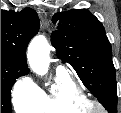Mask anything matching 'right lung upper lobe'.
<instances>
[{"instance_id":"cb5924a9","label":"right lung upper lobe","mask_w":121,"mask_h":113,"mask_svg":"<svg viewBox=\"0 0 121 113\" xmlns=\"http://www.w3.org/2000/svg\"><path fill=\"white\" fill-rule=\"evenodd\" d=\"M39 30V18L32 8L21 12L1 10V58L29 72L25 50Z\"/></svg>"}]
</instances>
